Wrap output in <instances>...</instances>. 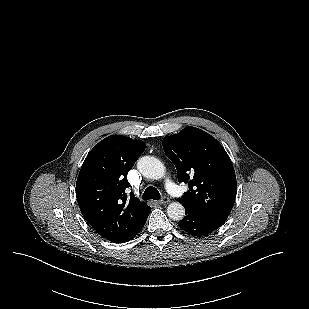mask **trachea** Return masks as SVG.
Segmentation results:
<instances>
[{"instance_id": "3493384b", "label": "trachea", "mask_w": 309, "mask_h": 309, "mask_svg": "<svg viewBox=\"0 0 309 309\" xmlns=\"http://www.w3.org/2000/svg\"><path fill=\"white\" fill-rule=\"evenodd\" d=\"M142 198L144 200H149V199L159 200L160 199V193H159V191L155 187L149 186L144 191V193L142 195Z\"/></svg>"}]
</instances>
